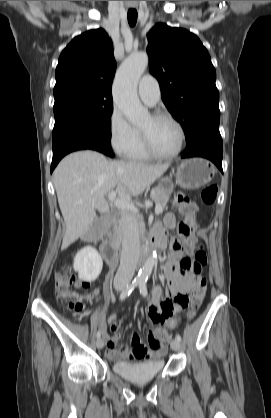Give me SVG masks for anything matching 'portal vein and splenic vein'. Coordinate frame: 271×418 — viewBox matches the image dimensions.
<instances>
[{"mask_svg":"<svg viewBox=\"0 0 271 418\" xmlns=\"http://www.w3.org/2000/svg\"><path fill=\"white\" fill-rule=\"evenodd\" d=\"M116 195H117L116 191L113 190V191H111V192L108 193V199L112 203H114V205L117 208H119V209H126V210H129V211L134 212V213H138L139 212L138 209L135 207L134 204H132L130 202H127L125 200H122V199H117L116 198ZM161 212H162L161 205H156V207H155V214H160Z\"/></svg>","mask_w":271,"mask_h":418,"instance_id":"portal-vein-and-splenic-vein-1","label":"portal vein and splenic vein"}]
</instances>
